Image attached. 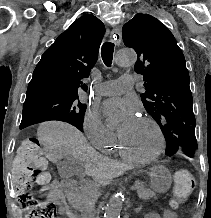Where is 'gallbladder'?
Masks as SVG:
<instances>
[{
	"instance_id": "1",
	"label": "gallbladder",
	"mask_w": 211,
	"mask_h": 218,
	"mask_svg": "<svg viewBox=\"0 0 211 218\" xmlns=\"http://www.w3.org/2000/svg\"><path fill=\"white\" fill-rule=\"evenodd\" d=\"M57 170L61 178H72L74 175H82L84 166H77L76 160L64 158L63 162H57Z\"/></svg>"
}]
</instances>
